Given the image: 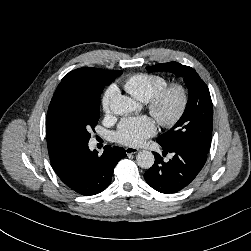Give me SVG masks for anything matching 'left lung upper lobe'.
Instances as JSON below:
<instances>
[{
    "mask_svg": "<svg viewBox=\"0 0 251 251\" xmlns=\"http://www.w3.org/2000/svg\"><path fill=\"white\" fill-rule=\"evenodd\" d=\"M151 71H169L184 78L189 90L188 103L179 121L157 142L166 148L191 145L208 153L212 140L213 104L209 89L197 72L177 62L147 67Z\"/></svg>",
    "mask_w": 251,
    "mask_h": 251,
    "instance_id": "left-lung-upper-lobe-1",
    "label": "left lung upper lobe"
}]
</instances>
